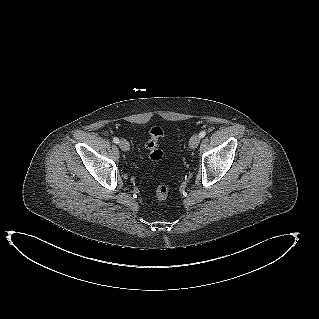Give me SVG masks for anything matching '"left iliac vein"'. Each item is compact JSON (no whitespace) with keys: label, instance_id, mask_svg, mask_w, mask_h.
<instances>
[{"label":"left iliac vein","instance_id":"obj_1","mask_svg":"<svg viewBox=\"0 0 319 319\" xmlns=\"http://www.w3.org/2000/svg\"><path fill=\"white\" fill-rule=\"evenodd\" d=\"M200 143V136L195 134L189 140V146L191 149H195Z\"/></svg>","mask_w":319,"mask_h":319}]
</instances>
